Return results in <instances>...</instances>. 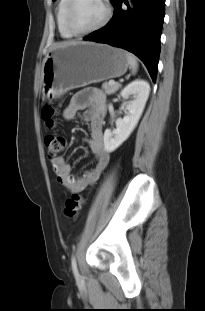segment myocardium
Instances as JSON below:
<instances>
[{"instance_id":"f54148a6","label":"myocardium","mask_w":205,"mask_h":311,"mask_svg":"<svg viewBox=\"0 0 205 311\" xmlns=\"http://www.w3.org/2000/svg\"><path fill=\"white\" fill-rule=\"evenodd\" d=\"M100 2L103 4V6L105 8V15H104L103 19L96 26H94L90 29L79 30L74 26L73 21H72V12H73V8H74V5L76 3V0H68V4L66 7L65 20H66L67 28L69 29V31L73 35H75V36L88 35V34H91V33H94V32L101 30L102 28H104L109 23L111 16H112V7L110 4V1L109 0H100Z\"/></svg>"}]
</instances>
